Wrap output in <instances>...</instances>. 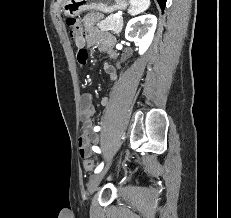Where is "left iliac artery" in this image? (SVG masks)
Masks as SVG:
<instances>
[{"instance_id":"obj_1","label":"left iliac artery","mask_w":231,"mask_h":218,"mask_svg":"<svg viewBox=\"0 0 231 218\" xmlns=\"http://www.w3.org/2000/svg\"><path fill=\"white\" fill-rule=\"evenodd\" d=\"M100 129H101L100 126L94 127V131H95V132L100 131ZM92 150H93L94 152H96V153H100V149H99L97 146H92ZM103 166H104V164L101 163L100 165L97 166V168L95 169L94 172H95V173L100 172V171L103 169Z\"/></svg>"}]
</instances>
